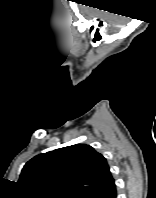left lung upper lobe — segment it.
<instances>
[{"label": "left lung upper lobe", "instance_id": "5c2ea615", "mask_svg": "<svg viewBox=\"0 0 156 198\" xmlns=\"http://www.w3.org/2000/svg\"><path fill=\"white\" fill-rule=\"evenodd\" d=\"M110 177L100 153L75 144L35 156L25 164L18 182L28 198H89Z\"/></svg>", "mask_w": 156, "mask_h": 198}]
</instances>
